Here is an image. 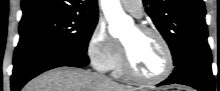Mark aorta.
Masks as SVG:
<instances>
[{
  "label": "aorta",
  "mask_w": 220,
  "mask_h": 91,
  "mask_svg": "<svg viewBox=\"0 0 220 91\" xmlns=\"http://www.w3.org/2000/svg\"><path fill=\"white\" fill-rule=\"evenodd\" d=\"M102 9L109 22V32L114 37H120L125 27H130L132 22L123 12L119 0H101Z\"/></svg>",
  "instance_id": "1"
}]
</instances>
